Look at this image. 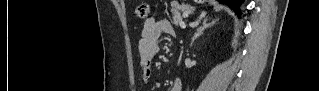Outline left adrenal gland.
<instances>
[{"mask_svg": "<svg viewBox=\"0 0 319 91\" xmlns=\"http://www.w3.org/2000/svg\"><path fill=\"white\" fill-rule=\"evenodd\" d=\"M215 23V20H213L212 22L210 23H207V17L204 19L203 23H202V26L197 28L196 32L194 33V36L192 37V40H191V43H190V46H192L193 42L203 34V32L211 27L213 24Z\"/></svg>", "mask_w": 319, "mask_h": 91, "instance_id": "1", "label": "left adrenal gland"}]
</instances>
